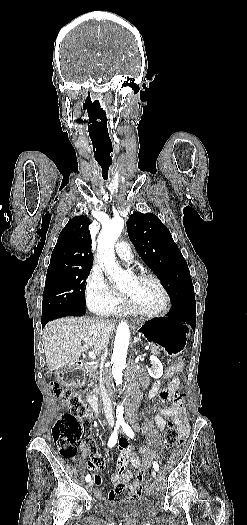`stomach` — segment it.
<instances>
[{
    "label": "stomach",
    "instance_id": "1",
    "mask_svg": "<svg viewBox=\"0 0 247 525\" xmlns=\"http://www.w3.org/2000/svg\"><path fill=\"white\" fill-rule=\"evenodd\" d=\"M137 330L149 344L158 345L168 356L179 355L189 338V326L167 317H157L141 322Z\"/></svg>",
    "mask_w": 247,
    "mask_h": 525
}]
</instances>
